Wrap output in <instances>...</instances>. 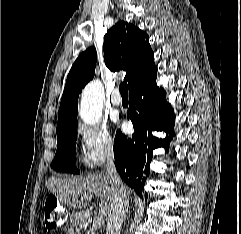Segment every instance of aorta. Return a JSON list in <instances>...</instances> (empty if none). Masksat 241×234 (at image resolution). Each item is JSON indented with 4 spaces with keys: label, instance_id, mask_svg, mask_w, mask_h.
I'll list each match as a JSON object with an SVG mask.
<instances>
[{
    "label": "aorta",
    "instance_id": "762f6f07",
    "mask_svg": "<svg viewBox=\"0 0 241 234\" xmlns=\"http://www.w3.org/2000/svg\"><path fill=\"white\" fill-rule=\"evenodd\" d=\"M104 101V88L99 80H93L84 88L81 95L80 117L90 125L100 121Z\"/></svg>",
    "mask_w": 241,
    "mask_h": 234
}]
</instances>
